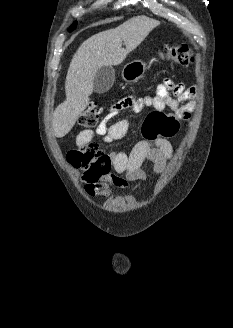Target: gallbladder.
I'll return each instance as SVG.
<instances>
[{"label":"gallbladder","instance_id":"gallbladder-1","mask_svg":"<svg viewBox=\"0 0 233 328\" xmlns=\"http://www.w3.org/2000/svg\"><path fill=\"white\" fill-rule=\"evenodd\" d=\"M115 82V71L112 66L101 67L94 77V92L102 94L107 92Z\"/></svg>","mask_w":233,"mask_h":328}]
</instances>
